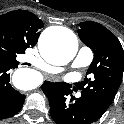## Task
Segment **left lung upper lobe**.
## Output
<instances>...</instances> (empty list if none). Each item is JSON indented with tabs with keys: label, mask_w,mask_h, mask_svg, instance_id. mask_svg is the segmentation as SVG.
Masks as SVG:
<instances>
[{
	"label": "left lung upper lobe",
	"mask_w": 124,
	"mask_h": 124,
	"mask_svg": "<svg viewBox=\"0 0 124 124\" xmlns=\"http://www.w3.org/2000/svg\"><path fill=\"white\" fill-rule=\"evenodd\" d=\"M81 41L94 53L87 71L90 78L77 83L81 94L89 98L104 113L115 98L122 82L124 51L117 37L103 25L87 21L79 24Z\"/></svg>",
	"instance_id": "obj_1"
}]
</instances>
